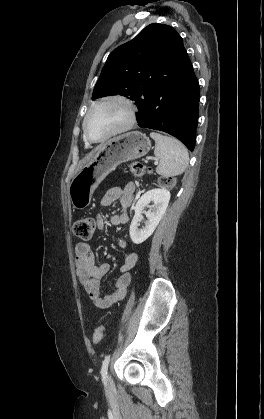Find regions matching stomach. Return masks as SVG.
<instances>
[{
	"mask_svg": "<svg viewBox=\"0 0 264 419\" xmlns=\"http://www.w3.org/2000/svg\"><path fill=\"white\" fill-rule=\"evenodd\" d=\"M151 148L149 138L138 131L114 137L100 146L95 156L73 177L68 194L73 208L82 210L102 180L119 164L145 156Z\"/></svg>",
	"mask_w": 264,
	"mask_h": 419,
	"instance_id": "stomach-1",
	"label": "stomach"
}]
</instances>
